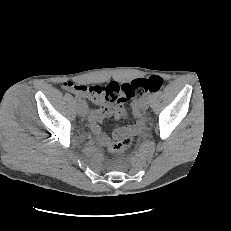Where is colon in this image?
<instances>
[{
    "label": "colon",
    "mask_w": 231,
    "mask_h": 231,
    "mask_svg": "<svg viewBox=\"0 0 231 231\" xmlns=\"http://www.w3.org/2000/svg\"><path fill=\"white\" fill-rule=\"evenodd\" d=\"M164 80L158 75H152L149 78H138L131 82L124 83L122 85L115 84L110 85L109 96L113 100H117L120 97L130 99L132 97L141 95L147 91L158 92L162 89ZM133 137L131 133H126L114 142L109 144L108 151L111 153H120L131 146Z\"/></svg>",
    "instance_id": "1"
}]
</instances>
